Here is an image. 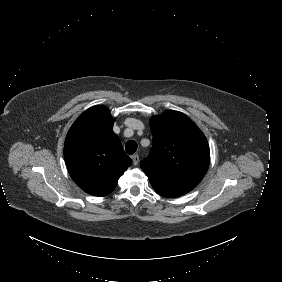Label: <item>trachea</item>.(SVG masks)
<instances>
[{
    "label": "trachea",
    "instance_id": "obj_1",
    "mask_svg": "<svg viewBox=\"0 0 282 282\" xmlns=\"http://www.w3.org/2000/svg\"><path fill=\"white\" fill-rule=\"evenodd\" d=\"M137 143L133 140L128 141L125 144V150L128 154H134V152L137 150Z\"/></svg>",
    "mask_w": 282,
    "mask_h": 282
}]
</instances>
